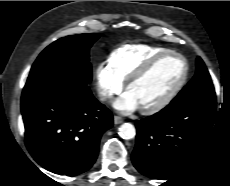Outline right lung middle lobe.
I'll return each mask as SVG.
<instances>
[{
  "mask_svg": "<svg viewBox=\"0 0 230 186\" xmlns=\"http://www.w3.org/2000/svg\"><path fill=\"white\" fill-rule=\"evenodd\" d=\"M99 34H79L58 39L46 47L34 62L27 82L54 75L67 73L86 83L92 78L89 63V48Z\"/></svg>",
  "mask_w": 230,
  "mask_h": 186,
  "instance_id": "1",
  "label": "right lung middle lobe"
}]
</instances>
